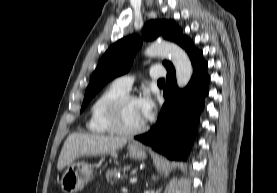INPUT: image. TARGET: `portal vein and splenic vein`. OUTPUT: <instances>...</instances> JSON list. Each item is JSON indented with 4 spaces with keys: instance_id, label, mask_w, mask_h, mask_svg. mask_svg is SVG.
<instances>
[{
    "instance_id": "obj_1",
    "label": "portal vein and splenic vein",
    "mask_w": 277,
    "mask_h": 193,
    "mask_svg": "<svg viewBox=\"0 0 277 193\" xmlns=\"http://www.w3.org/2000/svg\"><path fill=\"white\" fill-rule=\"evenodd\" d=\"M129 182L131 184L136 183L137 182V178L136 177H132V178H130Z\"/></svg>"
}]
</instances>
